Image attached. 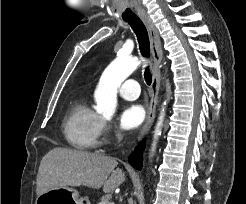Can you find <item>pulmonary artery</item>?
<instances>
[{
	"label": "pulmonary artery",
	"mask_w": 246,
	"mask_h": 204,
	"mask_svg": "<svg viewBox=\"0 0 246 204\" xmlns=\"http://www.w3.org/2000/svg\"><path fill=\"white\" fill-rule=\"evenodd\" d=\"M119 94L126 100H135L140 95L139 83L134 79H128L119 88Z\"/></svg>",
	"instance_id": "1"
}]
</instances>
